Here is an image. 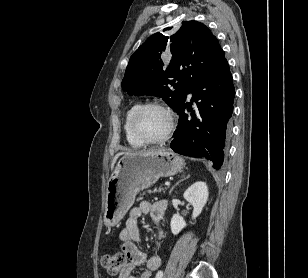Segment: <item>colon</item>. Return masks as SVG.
I'll return each instance as SVG.
<instances>
[{
  "label": "colon",
  "mask_w": 308,
  "mask_h": 278,
  "mask_svg": "<svg viewBox=\"0 0 308 278\" xmlns=\"http://www.w3.org/2000/svg\"><path fill=\"white\" fill-rule=\"evenodd\" d=\"M126 259L127 257L124 253H109L103 257L102 263L110 274L115 275L122 271L125 266Z\"/></svg>",
  "instance_id": "1"
}]
</instances>
